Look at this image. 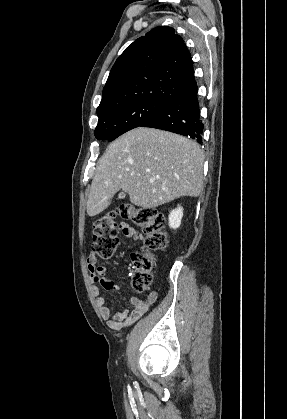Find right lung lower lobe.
<instances>
[{
  "label": "right lung lower lobe",
  "mask_w": 287,
  "mask_h": 419,
  "mask_svg": "<svg viewBox=\"0 0 287 419\" xmlns=\"http://www.w3.org/2000/svg\"><path fill=\"white\" fill-rule=\"evenodd\" d=\"M198 90L169 100L159 111L144 121L140 127L162 129L189 136L199 143L202 140L203 123L197 99Z\"/></svg>",
  "instance_id": "obj_1"
}]
</instances>
